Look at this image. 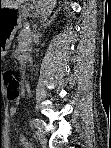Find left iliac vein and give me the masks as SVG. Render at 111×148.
I'll use <instances>...</instances> for the list:
<instances>
[{
    "label": "left iliac vein",
    "mask_w": 111,
    "mask_h": 148,
    "mask_svg": "<svg viewBox=\"0 0 111 148\" xmlns=\"http://www.w3.org/2000/svg\"><path fill=\"white\" fill-rule=\"evenodd\" d=\"M37 137L41 142H44V136H43V131L39 128L37 131Z\"/></svg>",
    "instance_id": "4c4485c4"
}]
</instances>
